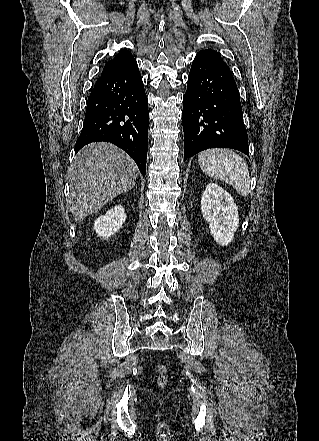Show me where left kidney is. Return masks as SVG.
I'll list each match as a JSON object with an SVG mask.
<instances>
[{
  "label": "left kidney",
  "instance_id": "left-kidney-1",
  "mask_svg": "<svg viewBox=\"0 0 319 441\" xmlns=\"http://www.w3.org/2000/svg\"><path fill=\"white\" fill-rule=\"evenodd\" d=\"M201 210L215 241L222 246L228 245L240 220L231 195L217 184L209 183L202 194Z\"/></svg>",
  "mask_w": 319,
  "mask_h": 441
}]
</instances>
